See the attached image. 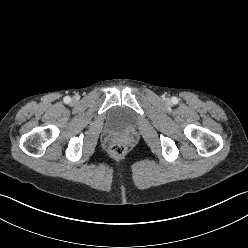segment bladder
<instances>
[{
  "label": "bladder",
  "instance_id": "bladder-1",
  "mask_svg": "<svg viewBox=\"0 0 248 248\" xmlns=\"http://www.w3.org/2000/svg\"><path fill=\"white\" fill-rule=\"evenodd\" d=\"M134 122L132 113L125 107H114L108 113V124L112 128L130 127Z\"/></svg>",
  "mask_w": 248,
  "mask_h": 248
}]
</instances>
